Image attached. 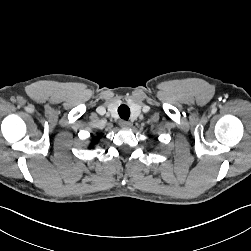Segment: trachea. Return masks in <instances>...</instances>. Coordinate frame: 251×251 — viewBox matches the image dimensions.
Returning <instances> with one entry per match:
<instances>
[{"label":"trachea","instance_id":"obj_1","mask_svg":"<svg viewBox=\"0 0 251 251\" xmlns=\"http://www.w3.org/2000/svg\"><path fill=\"white\" fill-rule=\"evenodd\" d=\"M118 114L120 116V118L124 119V120H128L130 117V108L127 105H121L118 108Z\"/></svg>","mask_w":251,"mask_h":251}]
</instances>
